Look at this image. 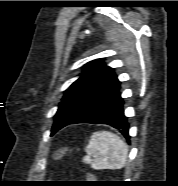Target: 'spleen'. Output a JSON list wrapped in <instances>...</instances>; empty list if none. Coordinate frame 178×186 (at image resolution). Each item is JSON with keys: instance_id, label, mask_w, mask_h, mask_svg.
Returning a JSON list of instances; mask_svg holds the SVG:
<instances>
[{"instance_id": "3e777b00", "label": "spleen", "mask_w": 178, "mask_h": 186, "mask_svg": "<svg viewBox=\"0 0 178 186\" xmlns=\"http://www.w3.org/2000/svg\"><path fill=\"white\" fill-rule=\"evenodd\" d=\"M85 151L83 161L93 169H121L126 164L128 146L118 135L99 131L91 135Z\"/></svg>"}]
</instances>
